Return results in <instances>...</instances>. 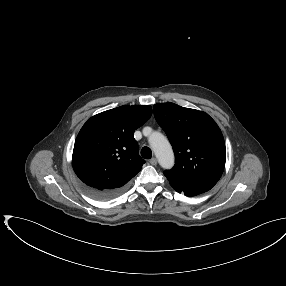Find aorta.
Masks as SVG:
<instances>
[{"label": "aorta", "mask_w": 286, "mask_h": 286, "mask_svg": "<svg viewBox=\"0 0 286 286\" xmlns=\"http://www.w3.org/2000/svg\"><path fill=\"white\" fill-rule=\"evenodd\" d=\"M149 144L161 167L164 169L172 168L174 165V154L168 139L159 132H153L149 136Z\"/></svg>", "instance_id": "obj_1"}]
</instances>
